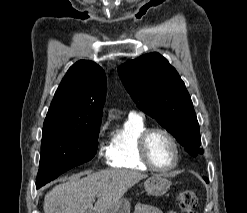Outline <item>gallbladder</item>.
Instances as JSON below:
<instances>
[{
  "label": "gallbladder",
  "instance_id": "1",
  "mask_svg": "<svg viewBox=\"0 0 247 213\" xmlns=\"http://www.w3.org/2000/svg\"><path fill=\"white\" fill-rule=\"evenodd\" d=\"M85 213H94L91 209L85 211Z\"/></svg>",
  "mask_w": 247,
  "mask_h": 213
}]
</instances>
